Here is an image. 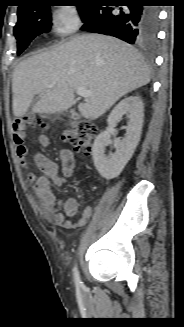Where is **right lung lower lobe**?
Returning a JSON list of instances; mask_svg holds the SVG:
<instances>
[{
  "label": "right lung lower lobe",
  "instance_id": "obj_1",
  "mask_svg": "<svg viewBox=\"0 0 184 327\" xmlns=\"http://www.w3.org/2000/svg\"><path fill=\"white\" fill-rule=\"evenodd\" d=\"M128 6L95 5L83 19L81 30L112 35L130 44L152 45L158 32V10L144 7L142 0H129Z\"/></svg>",
  "mask_w": 184,
  "mask_h": 327
}]
</instances>
